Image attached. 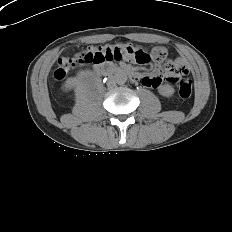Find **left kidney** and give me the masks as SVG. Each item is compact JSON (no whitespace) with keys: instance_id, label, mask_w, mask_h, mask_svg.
Segmentation results:
<instances>
[{"instance_id":"obj_1","label":"left kidney","mask_w":232,"mask_h":232,"mask_svg":"<svg viewBox=\"0 0 232 232\" xmlns=\"http://www.w3.org/2000/svg\"><path fill=\"white\" fill-rule=\"evenodd\" d=\"M158 91L162 96L165 97H170L174 94V88L170 85H162L159 87Z\"/></svg>"}]
</instances>
